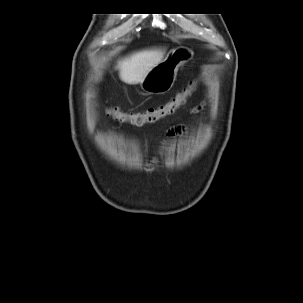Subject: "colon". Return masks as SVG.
Returning <instances> with one entry per match:
<instances>
[{"label":"colon","mask_w":303,"mask_h":303,"mask_svg":"<svg viewBox=\"0 0 303 303\" xmlns=\"http://www.w3.org/2000/svg\"><path fill=\"white\" fill-rule=\"evenodd\" d=\"M196 87L197 81L193 80L168 102L159 106L147 108L144 111L123 112L118 107H109L106 109V113L118 122H128L137 127L155 123L160 119L173 114L181 107L187 98L195 91Z\"/></svg>","instance_id":"obj_1"}]
</instances>
